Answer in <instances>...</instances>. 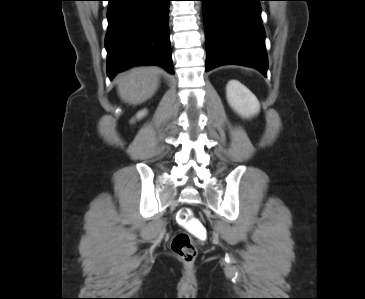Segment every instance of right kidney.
<instances>
[{"label": "right kidney", "mask_w": 365, "mask_h": 299, "mask_svg": "<svg viewBox=\"0 0 365 299\" xmlns=\"http://www.w3.org/2000/svg\"><path fill=\"white\" fill-rule=\"evenodd\" d=\"M146 114V110H142L137 114V118H142Z\"/></svg>", "instance_id": "1"}]
</instances>
